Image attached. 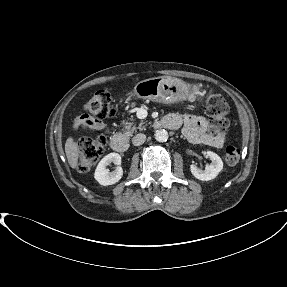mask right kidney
I'll use <instances>...</instances> for the list:
<instances>
[{"mask_svg": "<svg viewBox=\"0 0 287 287\" xmlns=\"http://www.w3.org/2000/svg\"><path fill=\"white\" fill-rule=\"evenodd\" d=\"M110 163L117 165L116 169L109 172L107 166ZM121 165V156L118 153H110L106 155L96 167L94 178L103 186L117 183L123 176Z\"/></svg>", "mask_w": 287, "mask_h": 287, "instance_id": "1", "label": "right kidney"}]
</instances>
